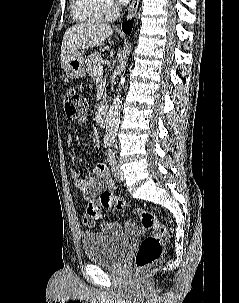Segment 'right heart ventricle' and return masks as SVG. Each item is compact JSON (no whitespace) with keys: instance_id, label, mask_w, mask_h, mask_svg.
<instances>
[{"instance_id":"right-heart-ventricle-1","label":"right heart ventricle","mask_w":239,"mask_h":303,"mask_svg":"<svg viewBox=\"0 0 239 303\" xmlns=\"http://www.w3.org/2000/svg\"><path fill=\"white\" fill-rule=\"evenodd\" d=\"M73 17L83 23L97 22L105 19L97 0H71Z\"/></svg>"}]
</instances>
